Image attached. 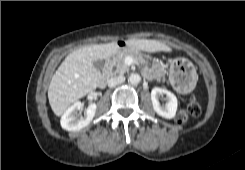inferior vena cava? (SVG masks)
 <instances>
[{
    "mask_svg": "<svg viewBox=\"0 0 245 170\" xmlns=\"http://www.w3.org/2000/svg\"><path fill=\"white\" fill-rule=\"evenodd\" d=\"M125 81V77L122 76V75H119V76H114V77H111L108 81V86L109 87H115L116 85L118 84H121Z\"/></svg>",
    "mask_w": 245,
    "mask_h": 170,
    "instance_id": "obj_1",
    "label": "inferior vena cava"
}]
</instances>
